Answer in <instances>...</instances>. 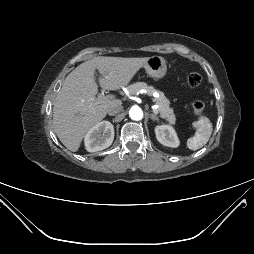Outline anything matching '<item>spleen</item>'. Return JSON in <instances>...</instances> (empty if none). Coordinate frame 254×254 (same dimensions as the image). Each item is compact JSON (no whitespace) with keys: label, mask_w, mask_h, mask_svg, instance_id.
<instances>
[{"label":"spleen","mask_w":254,"mask_h":254,"mask_svg":"<svg viewBox=\"0 0 254 254\" xmlns=\"http://www.w3.org/2000/svg\"><path fill=\"white\" fill-rule=\"evenodd\" d=\"M195 128V135L187 140L188 148L193 151L202 148L208 142L213 131L212 123L206 116L199 117L195 122Z\"/></svg>","instance_id":"spleen-1"}]
</instances>
